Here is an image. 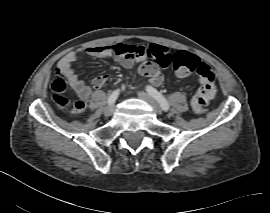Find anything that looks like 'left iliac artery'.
I'll list each match as a JSON object with an SVG mask.
<instances>
[{"label":"left iliac artery","instance_id":"44dca946","mask_svg":"<svg viewBox=\"0 0 270 213\" xmlns=\"http://www.w3.org/2000/svg\"><path fill=\"white\" fill-rule=\"evenodd\" d=\"M146 90L152 97H154L159 102L164 111L169 110L170 108L169 103L160 92H158L155 88L151 86H147Z\"/></svg>","mask_w":270,"mask_h":213}]
</instances>
